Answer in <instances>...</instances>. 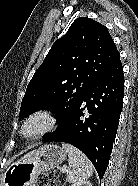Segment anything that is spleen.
Wrapping results in <instances>:
<instances>
[{"label":"spleen","mask_w":138,"mask_h":186,"mask_svg":"<svg viewBox=\"0 0 138 186\" xmlns=\"http://www.w3.org/2000/svg\"><path fill=\"white\" fill-rule=\"evenodd\" d=\"M62 148L68 154V182L76 183L79 181H84L92 176L93 165L80 150L66 143L62 144Z\"/></svg>","instance_id":"obj_1"}]
</instances>
